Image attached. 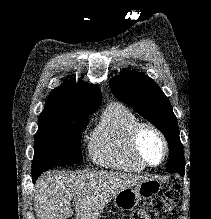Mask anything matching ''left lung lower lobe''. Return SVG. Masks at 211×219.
Returning a JSON list of instances; mask_svg holds the SVG:
<instances>
[{
    "label": "left lung lower lobe",
    "instance_id": "obj_1",
    "mask_svg": "<svg viewBox=\"0 0 211 219\" xmlns=\"http://www.w3.org/2000/svg\"><path fill=\"white\" fill-rule=\"evenodd\" d=\"M169 160L167 165L170 168L176 169L179 174L184 173V161L182 160V154L178 150L171 149L169 150Z\"/></svg>",
    "mask_w": 211,
    "mask_h": 219
}]
</instances>
